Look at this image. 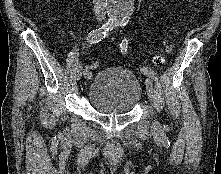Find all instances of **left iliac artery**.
I'll return each instance as SVG.
<instances>
[{"label": "left iliac artery", "instance_id": "left-iliac-artery-1", "mask_svg": "<svg viewBox=\"0 0 221 174\" xmlns=\"http://www.w3.org/2000/svg\"><path fill=\"white\" fill-rule=\"evenodd\" d=\"M126 21H121V22H116L115 23V26H119V25H126ZM120 48H121V52L124 54L126 53L127 51V48H128V41L127 39H124L120 45ZM141 72L144 73L145 75H148L149 77H152L153 78V73H152V70L147 67V66H143L141 69Z\"/></svg>", "mask_w": 221, "mask_h": 174}]
</instances>
